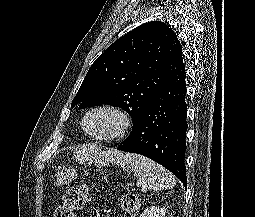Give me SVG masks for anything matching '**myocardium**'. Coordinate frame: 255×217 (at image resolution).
<instances>
[{
	"label": "myocardium",
	"instance_id": "obj_1",
	"mask_svg": "<svg viewBox=\"0 0 255 217\" xmlns=\"http://www.w3.org/2000/svg\"><path fill=\"white\" fill-rule=\"evenodd\" d=\"M97 111H107L117 117L118 127L114 132L107 135H94L86 129L85 124H86L87 118L92 113ZM131 125H132V119L130 114L121 106L113 104V103H101L89 108L85 112L81 121V128L86 135H88L92 139L104 141V142H112L124 137L126 133L129 131V129L131 128Z\"/></svg>",
	"mask_w": 255,
	"mask_h": 217
}]
</instances>
